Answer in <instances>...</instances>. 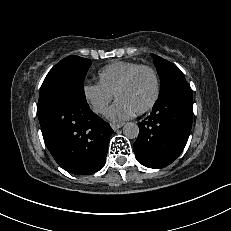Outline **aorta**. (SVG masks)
Returning <instances> with one entry per match:
<instances>
[{
    "instance_id": "obj_1",
    "label": "aorta",
    "mask_w": 231,
    "mask_h": 231,
    "mask_svg": "<svg viewBox=\"0 0 231 231\" xmlns=\"http://www.w3.org/2000/svg\"><path fill=\"white\" fill-rule=\"evenodd\" d=\"M123 134L129 139H135L139 135V127L136 123L128 122L123 127Z\"/></svg>"
}]
</instances>
